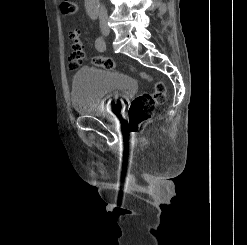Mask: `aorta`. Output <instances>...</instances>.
Here are the masks:
<instances>
[{"mask_svg":"<svg viewBox=\"0 0 247 245\" xmlns=\"http://www.w3.org/2000/svg\"><path fill=\"white\" fill-rule=\"evenodd\" d=\"M87 14L91 19H96L99 14V0H85Z\"/></svg>","mask_w":247,"mask_h":245,"instance_id":"762f6f07","label":"aorta"}]
</instances>
